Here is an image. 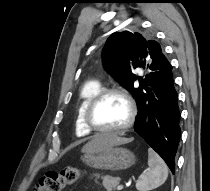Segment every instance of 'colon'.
I'll return each instance as SVG.
<instances>
[{
    "label": "colon",
    "mask_w": 210,
    "mask_h": 191,
    "mask_svg": "<svg viewBox=\"0 0 210 191\" xmlns=\"http://www.w3.org/2000/svg\"><path fill=\"white\" fill-rule=\"evenodd\" d=\"M82 177L81 169L66 167L59 172H47L39 179L34 191H62L67 185H72Z\"/></svg>",
    "instance_id": "colon-1"
}]
</instances>
